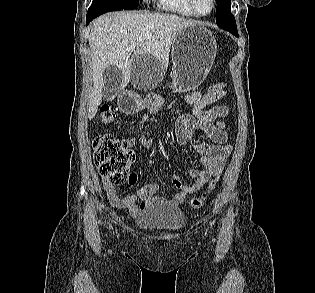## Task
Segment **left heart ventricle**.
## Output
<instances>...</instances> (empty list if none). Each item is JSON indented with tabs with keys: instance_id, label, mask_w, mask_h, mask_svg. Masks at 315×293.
I'll use <instances>...</instances> for the list:
<instances>
[{
	"instance_id": "b2bd125f",
	"label": "left heart ventricle",
	"mask_w": 315,
	"mask_h": 293,
	"mask_svg": "<svg viewBox=\"0 0 315 293\" xmlns=\"http://www.w3.org/2000/svg\"><path fill=\"white\" fill-rule=\"evenodd\" d=\"M197 6L200 12L207 13L211 9V0H197Z\"/></svg>"
}]
</instances>
